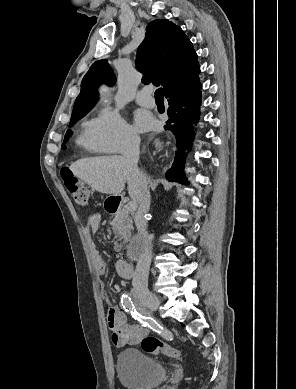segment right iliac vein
<instances>
[{
    "label": "right iliac vein",
    "mask_w": 296,
    "mask_h": 389,
    "mask_svg": "<svg viewBox=\"0 0 296 389\" xmlns=\"http://www.w3.org/2000/svg\"><path fill=\"white\" fill-rule=\"evenodd\" d=\"M142 304L149 307L151 310L156 311L160 306V300L155 294L148 293L143 296Z\"/></svg>",
    "instance_id": "obj_1"
}]
</instances>
